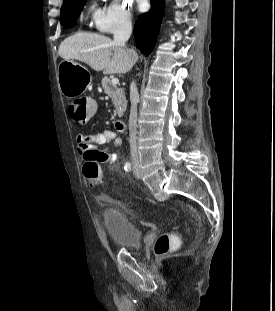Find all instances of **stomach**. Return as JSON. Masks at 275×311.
<instances>
[{"mask_svg":"<svg viewBox=\"0 0 275 311\" xmlns=\"http://www.w3.org/2000/svg\"><path fill=\"white\" fill-rule=\"evenodd\" d=\"M92 82V76L82 65L72 60H63L58 65V85L66 97L82 95Z\"/></svg>","mask_w":275,"mask_h":311,"instance_id":"0dacf381","label":"stomach"}]
</instances>
